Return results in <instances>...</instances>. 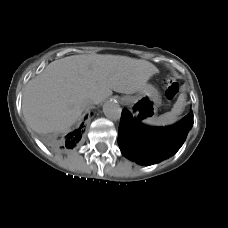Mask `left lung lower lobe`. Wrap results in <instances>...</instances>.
I'll return each instance as SVG.
<instances>
[{
  "label": "left lung lower lobe",
  "instance_id": "obj_1",
  "mask_svg": "<svg viewBox=\"0 0 228 228\" xmlns=\"http://www.w3.org/2000/svg\"><path fill=\"white\" fill-rule=\"evenodd\" d=\"M192 125V111L174 125L151 127L133 119L129 111L124 110L119 126L118 144L127 158L142 165L155 164L181 148Z\"/></svg>",
  "mask_w": 228,
  "mask_h": 228
}]
</instances>
